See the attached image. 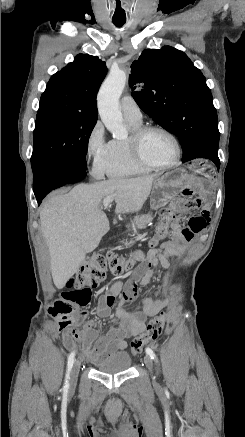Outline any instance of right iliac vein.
<instances>
[{
	"label": "right iliac vein",
	"instance_id": "63e3f726",
	"mask_svg": "<svg viewBox=\"0 0 245 437\" xmlns=\"http://www.w3.org/2000/svg\"><path fill=\"white\" fill-rule=\"evenodd\" d=\"M79 370H80V363L79 361H76L72 367L71 378H70L71 386H74L76 384Z\"/></svg>",
	"mask_w": 245,
	"mask_h": 437
}]
</instances>
